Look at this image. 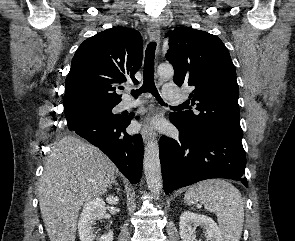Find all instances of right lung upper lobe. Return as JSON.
I'll list each match as a JSON object with an SVG mask.
<instances>
[{
  "label": "right lung upper lobe",
  "instance_id": "obj_1",
  "mask_svg": "<svg viewBox=\"0 0 295 241\" xmlns=\"http://www.w3.org/2000/svg\"><path fill=\"white\" fill-rule=\"evenodd\" d=\"M143 46L138 31L114 27L85 40L77 49L66 78L64 112L118 104L116 86L131 79L141 67Z\"/></svg>",
  "mask_w": 295,
  "mask_h": 241
}]
</instances>
